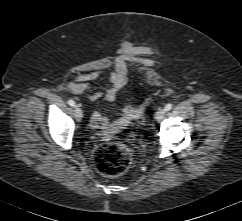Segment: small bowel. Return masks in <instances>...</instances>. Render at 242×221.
<instances>
[{
  "label": "small bowel",
  "instance_id": "1",
  "mask_svg": "<svg viewBox=\"0 0 242 221\" xmlns=\"http://www.w3.org/2000/svg\"><path fill=\"white\" fill-rule=\"evenodd\" d=\"M133 61L134 58L129 55H122L116 59L114 70L108 76L109 87L104 91H94L89 86V83L98 77V71L75 74L67 87L73 94L83 95L89 101H97L100 98H104L108 102H113L118 91L124 88L127 83V65ZM89 126L92 130L102 133H109L113 129V125L99 113L91 115Z\"/></svg>",
  "mask_w": 242,
  "mask_h": 221
}]
</instances>
